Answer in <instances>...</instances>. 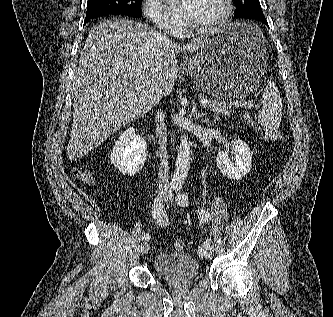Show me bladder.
Returning a JSON list of instances; mask_svg holds the SVG:
<instances>
[{
  "label": "bladder",
  "instance_id": "1",
  "mask_svg": "<svg viewBox=\"0 0 333 317\" xmlns=\"http://www.w3.org/2000/svg\"><path fill=\"white\" fill-rule=\"evenodd\" d=\"M153 269L156 275L172 284H187L194 281L200 267L194 257L187 253H162L155 257Z\"/></svg>",
  "mask_w": 333,
  "mask_h": 317
}]
</instances>
